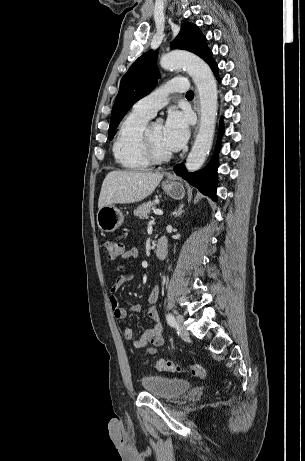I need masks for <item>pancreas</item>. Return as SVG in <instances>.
Returning <instances> with one entry per match:
<instances>
[{
	"label": "pancreas",
	"instance_id": "cf45deb5",
	"mask_svg": "<svg viewBox=\"0 0 305 461\" xmlns=\"http://www.w3.org/2000/svg\"><path fill=\"white\" fill-rule=\"evenodd\" d=\"M156 202L155 201H148L146 203L141 204L134 210V215L140 219L147 218L150 214L151 210L155 209Z\"/></svg>",
	"mask_w": 305,
	"mask_h": 461
}]
</instances>
